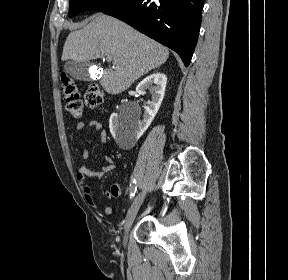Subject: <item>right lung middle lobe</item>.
<instances>
[{
  "instance_id": "right-lung-middle-lobe-1",
  "label": "right lung middle lobe",
  "mask_w": 288,
  "mask_h": 280,
  "mask_svg": "<svg viewBox=\"0 0 288 280\" xmlns=\"http://www.w3.org/2000/svg\"><path fill=\"white\" fill-rule=\"evenodd\" d=\"M122 0H70L69 17H73L87 10H103Z\"/></svg>"
}]
</instances>
